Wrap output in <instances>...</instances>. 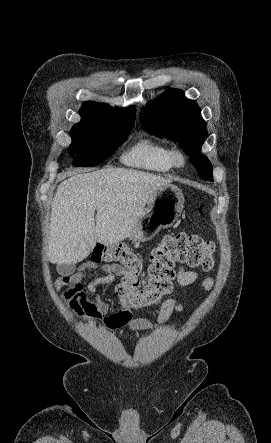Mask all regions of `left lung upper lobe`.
Wrapping results in <instances>:
<instances>
[{
    "mask_svg": "<svg viewBox=\"0 0 271 443\" xmlns=\"http://www.w3.org/2000/svg\"><path fill=\"white\" fill-rule=\"evenodd\" d=\"M200 112L197 103L185 98L182 90H167L146 104L141 116L142 128L155 136L177 141L191 157L200 177L213 181L212 165L201 155L207 127Z\"/></svg>",
    "mask_w": 271,
    "mask_h": 443,
    "instance_id": "5c2ea615",
    "label": "left lung upper lobe"
}]
</instances>
